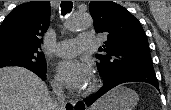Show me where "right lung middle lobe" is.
<instances>
[{
	"instance_id": "obj_1",
	"label": "right lung middle lobe",
	"mask_w": 171,
	"mask_h": 110,
	"mask_svg": "<svg viewBox=\"0 0 171 110\" xmlns=\"http://www.w3.org/2000/svg\"><path fill=\"white\" fill-rule=\"evenodd\" d=\"M22 66L35 72L46 73V60L39 49L13 43L0 44V68Z\"/></svg>"
}]
</instances>
